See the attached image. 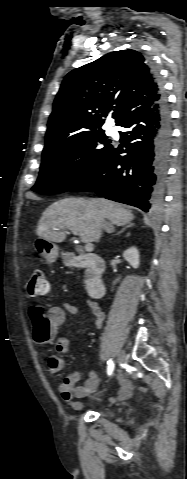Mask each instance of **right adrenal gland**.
Here are the masks:
<instances>
[{"label":"right adrenal gland","mask_w":187,"mask_h":479,"mask_svg":"<svg viewBox=\"0 0 187 479\" xmlns=\"http://www.w3.org/2000/svg\"><path fill=\"white\" fill-rule=\"evenodd\" d=\"M131 226H132V224H129V225L123 227V228H122L118 233H116V234H121V233H123L127 228H129V227H131Z\"/></svg>","instance_id":"1"}]
</instances>
